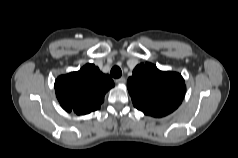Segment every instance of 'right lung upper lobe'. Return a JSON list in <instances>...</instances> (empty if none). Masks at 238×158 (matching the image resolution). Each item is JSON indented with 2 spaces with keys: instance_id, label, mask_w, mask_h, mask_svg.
Returning a JSON list of instances; mask_svg holds the SVG:
<instances>
[{
  "instance_id": "right-lung-upper-lobe-1",
  "label": "right lung upper lobe",
  "mask_w": 238,
  "mask_h": 158,
  "mask_svg": "<svg viewBox=\"0 0 238 158\" xmlns=\"http://www.w3.org/2000/svg\"><path fill=\"white\" fill-rule=\"evenodd\" d=\"M114 87L109 75L93 64H86L77 72L59 76L55 91L62 108L67 112L85 115L98 110L106 92Z\"/></svg>"
}]
</instances>
